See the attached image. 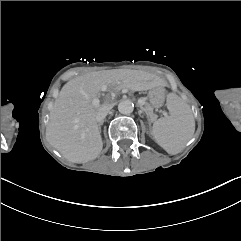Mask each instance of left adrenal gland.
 <instances>
[{"label": "left adrenal gland", "mask_w": 241, "mask_h": 241, "mask_svg": "<svg viewBox=\"0 0 241 241\" xmlns=\"http://www.w3.org/2000/svg\"><path fill=\"white\" fill-rule=\"evenodd\" d=\"M148 121H149V127H150V131H151V134H152V128H151V118L148 116Z\"/></svg>", "instance_id": "1"}]
</instances>
